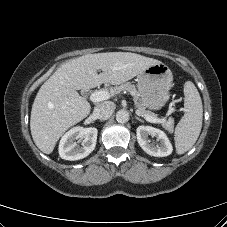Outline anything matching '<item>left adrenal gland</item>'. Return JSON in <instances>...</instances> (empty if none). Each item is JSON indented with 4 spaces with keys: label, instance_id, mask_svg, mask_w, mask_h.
Here are the masks:
<instances>
[{
    "label": "left adrenal gland",
    "instance_id": "obj_1",
    "mask_svg": "<svg viewBox=\"0 0 227 227\" xmlns=\"http://www.w3.org/2000/svg\"><path fill=\"white\" fill-rule=\"evenodd\" d=\"M135 119H137L138 121L144 123V120H142L141 118H139L138 116H135Z\"/></svg>",
    "mask_w": 227,
    "mask_h": 227
}]
</instances>
